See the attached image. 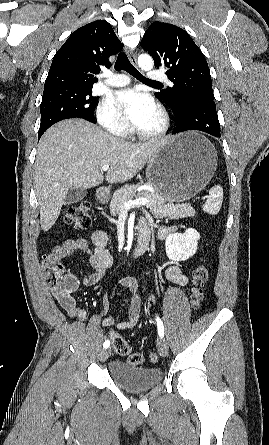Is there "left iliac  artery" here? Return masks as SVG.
Returning a JSON list of instances; mask_svg holds the SVG:
<instances>
[{
	"instance_id": "left-iliac-artery-1",
	"label": "left iliac artery",
	"mask_w": 269,
	"mask_h": 445,
	"mask_svg": "<svg viewBox=\"0 0 269 445\" xmlns=\"http://www.w3.org/2000/svg\"><path fill=\"white\" fill-rule=\"evenodd\" d=\"M156 321H157V328H158L159 336L162 338L164 336V325H163V322H162V320L158 316H156Z\"/></svg>"
}]
</instances>
